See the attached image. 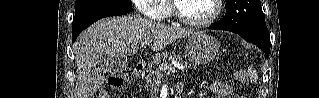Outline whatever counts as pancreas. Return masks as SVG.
<instances>
[{"label":"pancreas","mask_w":319,"mask_h":98,"mask_svg":"<svg viewBox=\"0 0 319 98\" xmlns=\"http://www.w3.org/2000/svg\"><path fill=\"white\" fill-rule=\"evenodd\" d=\"M166 59H171L179 62L180 64L184 65L185 67H189V64L184 61L180 55H177L175 53L171 52H162L159 54H156L153 58V61L149 64V68L147 70V76L146 80L147 82H151V79L153 78L154 74H161L162 70H155L156 66Z\"/></svg>","instance_id":"1"}]
</instances>
